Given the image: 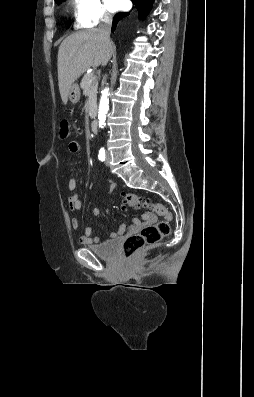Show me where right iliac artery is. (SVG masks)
I'll return each mask as SVG.
<instances>
[{"instance_id": "82829eb1", "label": "right iliac artery", "mask_w": 254, "mask_h": 397, "mask_svg": "<svg viewBox=\"0 0 254 397\" xmlns=\"http://www.w3.org/2000/svg\"><path fill=\"white\" fill-rule=\"evenodd\" d=\"M98 158H99L100 161H104V160H105L106 154H105V150H104V149H101V150L99 151Z\"/></svg>"}]
</instances>
